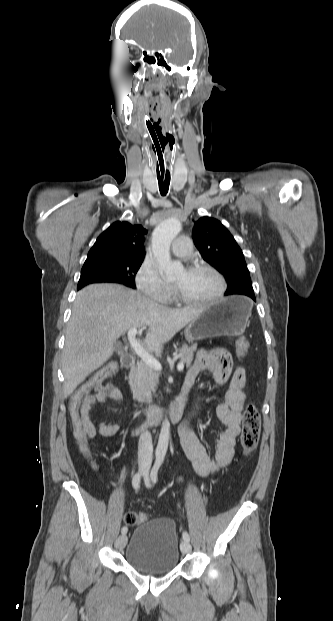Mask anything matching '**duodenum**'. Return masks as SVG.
Masks as SVG:
<instances>
[{
	"mask_svg": "<svg viewBox=\"0 0 333 621\" xmlns=\"http://www.w3.org/2000/svg\"><path fill=\"white\" fill-rule=\"evenodd\" d=\"M123 367L131 369L135 366V357L132 354H126L121 359ZM190 386L184 383L181 394L177 399V402L168 410H161L158 408H149L143 414V421L132 430L133 434L140 432L143 428L162 422L163 420H169L172 422L178 421L183 415V404L187 398Z\"/></svg>",
	"mask_w": 333,
	"mask_h": 621,
	"instance_id": "410a0bca",
	"label": "duodenum"
}]
</instances>
